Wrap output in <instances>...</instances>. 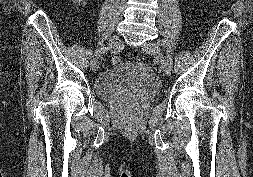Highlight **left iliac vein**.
<instances>
[{
    "label": "left iliac vein",
    "mask_w": 253,
    "mask_h": 177,
    "mask_svg": "<svg viewBox=\"0 0 253 177\" xmlns=\"http://www.w3.org/2000/svg\"><path fill=\"white\" fill-rule=\"evenodd\" d=\"M143 49L155 56V58L160 62L161 68L166 75L171 74L172 67V57L170 55L164 56L160 46L154 42H147L143 45ZM169 60V63H166Z\"/></svg>",
    "instance_id": "1"
}]
</instances>
